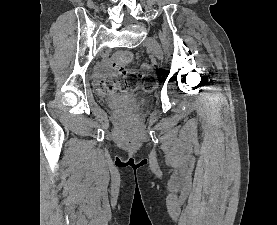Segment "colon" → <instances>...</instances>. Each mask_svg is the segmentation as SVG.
<instances>
[{"label": "colon", "mask_w": 277, "mask_h": 225, "mask_svg": "<svg viewBox=\"0 0 277 225\" xmlns=\"http://www.w3.org/2000/svg\"><path fill=\"white\" fill-rule=\"evenodd\" d=\"M134 60V54L129 50L114 53L110 63L114 72L105 77L99 85V90L105 94H116L123 91H134L142 88L151 91L156 86L155 73L152 70L139 72L125 68Z\"/></svg>", "instance_id": "colon-1"}]
</instances>
